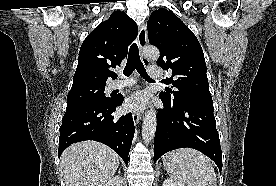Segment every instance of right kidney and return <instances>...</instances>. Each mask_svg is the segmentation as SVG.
Wrapping results in <instances>:
<instances>
[{
	"instance_id": "ca27d5eb",
	"label": "right kidney",
	"mask_w": 276,
	"mask_h": 186,
	"mask_svg": "<svg viewBox=\"0 0 276 186\" xmlns=\"http://www.w3.org/2000/svg\"><path fill=\"white\" fill-rule=\"evenodd\" d=\"M123 180L120 176H115L109 180L104 186H122Z\"/></svg>"
}]
</instances>
